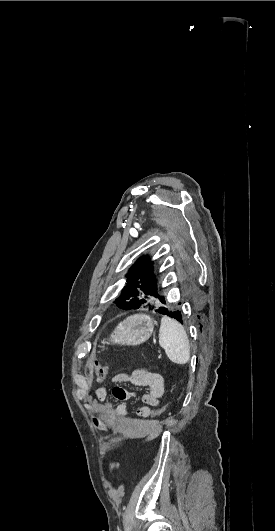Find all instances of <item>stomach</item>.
I'll list each match as a JSON object with an SVG mask.
<instances>
[{"label": "stomach", "instance_id": "stomach-1", "mask_svg": "<svg viewBox=\"0 0 275 531\" xmlns=\"http://www.w3.org/2000/svg\"><path fill=\"white\" fill-rule=\"evenodd\" d=\"M156 323L150 315L139 313L121 321L111 333L107 345H140L150 339Z\"/></svg>", "mask_w": 275, "mask_h": 531}]
</instances>
